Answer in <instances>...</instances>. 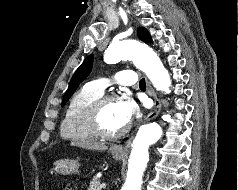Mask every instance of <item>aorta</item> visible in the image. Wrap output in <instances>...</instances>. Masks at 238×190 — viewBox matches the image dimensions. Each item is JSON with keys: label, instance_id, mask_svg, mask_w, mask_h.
Listing matches in <instances>:
<instances>
[{"label": "aorta", "instance_id": "obj_1", "mask_svg": "<svg viewBox=\"0 0 238 190\" xmlns=\"http://www.w3.org/2000/svg\"><path fill=\"white\" fill-rule=\"evenodd\" d=\"M132 60L158 91L170 93L171 79L157 54L137 40L113 42L105 52L107 63ZM162 128L156 122L140 127L133 140L127 178L121 190H141L143 172L149 160L148 149L160 140Z\"/></svg>", "mask_w": 238, "mask_h": 190}]
</instances>
